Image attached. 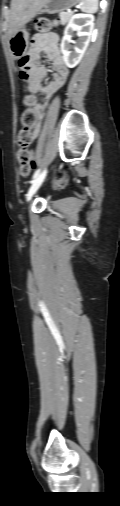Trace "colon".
<instances>
[{"label":"colon","instance_id":"colon-1","mask_svg":"<svg viewBox=\"0 0 120 506\" xmlns=\"http://www.w3.org/2000/svg\"><path fill=\"white\" fill-rule=\"evenodd\" d=\"M54 23L47 18H39L35 22V28L40 32L48 31ZM28 59L23 57L19 61L21 69V77L26 78L25 69L27 67ZM35 103L33 96H26L24 98V104L27 107L21 115L22 128L18 133V151L17 161L19 164V173L21 176L26 177L30 174L31 168L34 165L33 153L29 149L33 141L32 128L36 122V114L34 113L31 106Z\"/></svg>","mask_w":120,"mask_h":506}]
</instances>
